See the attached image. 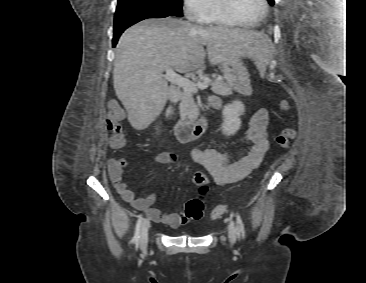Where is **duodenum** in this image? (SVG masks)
Returning <instances> with one entry per match:
<instances>
[{
    "label": "duodenum",
    "mask_w": 366,
    "mask_h": 283,
    "mask_svg": "<svg viewBox=\"0 0 366 283\" xmlns=\"http://www.w3.org/2000/svg\"><path fill=\"white\" fill-rule=\"evenodd\" d=\"M209 105L214 107L211 101H209ZM207 125L208 118L204 114L190 120L178 121L175 125L176 138L181 142L191 141L200 136L206 130Z\"/></svg>",
    "instance_id": "duodenum-1"
}]
</instances>
